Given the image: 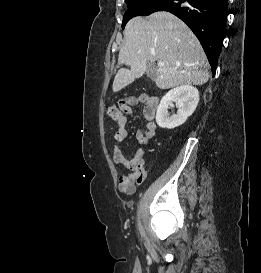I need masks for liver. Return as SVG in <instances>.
<instances>
[{
  "instance_id": "1",
  "label": "liver",
  "mask_w": 261,
  "mask_h": 273,
  "mask_svg": "<svg viewBox=\"0 0 261 273\" xmlns=\"http://www.w3.org/2000/svg\"><path fill=\"white\" fill-rule=\"evenodd\" d=\"M125 43L118 63L130 69L118 70L113 92L140 78L148 63L164 62L156 68L155 84L160 89L182 85H203L209 79V63L204 50L187 25L175 15L160 11L146 18L134 17L125 27Z\"/></svg>"
}]
</instances>
